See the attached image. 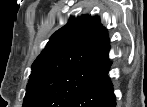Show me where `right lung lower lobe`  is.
<instances>
[{
    "label": "right lung lower lobe",
    "mask_w": 147,
    "mask_h": 107,
    "mask_svg": "<svg viewBox=\"0 0 147 107\" xmlns=\"http://www.w3.org/2000/svg\"><path fill=\"white\" fill-rule=\"evenodd\" d=\"M112 62L104 66L90 84L80 92L66 107H116L108 71Z\"/></svg>",
    "instance_id": "98d812e1"
}]
</instances>
